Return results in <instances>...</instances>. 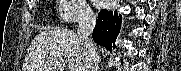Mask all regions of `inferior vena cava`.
Returning a JSON list of instances; mask_svg holds the SVG:
<instances>
[{
	"label": "inferior vena cava",
	"instance_id": "602c4592",
	"mask_svg": "<svg viewBox=\"0 0 181 71\" xmlns=\"http://www.w3.org/2000/svg\"><path fill=\"white\" fill-rule=\"evenodd\" d=\"M96 24V16L92 12H85L79 20L77 35L86 53L85 68L83 71H97L99 56L90 35Z\"/></svg>",
	"mask_w": 181,
	"mask_h": 71
}]
</instances>
